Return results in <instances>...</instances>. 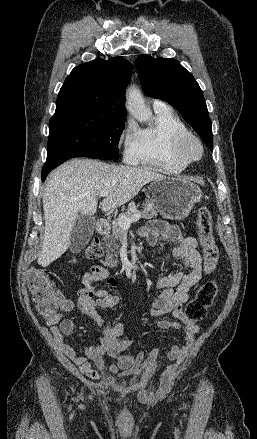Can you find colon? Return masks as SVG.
I'll use <instances>...</instances> for the list:
<instances>
[{"label": "colon", "instance_id": "5ec220e1", "mask_svg": "<svg viewBox=\"0 0 257 439\" xmlns=\"http://www.w3.org/2000/svg\"><path fill=\"white\" fill-rule=\"evenodd\" d=\"M197 230L204 258V272L212 273L218 263L219 250L213 235V219L208 208L202 207L197 214ZM102 253L98 240H92L85 248L87 258L99 257ZM28 287L39 303V310L45 316H52L56 309V290L48 276L40 269H31L28 274ZM218 292L216 281L204 283L196 292L184 310L186 322L195 323L202 320L207 309L212 305Z\"/></svg>", "mask_w": 257, "mask_h": 439}]
</instances>
